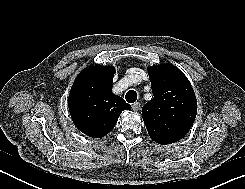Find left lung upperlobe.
Segmentation results:
<instances>
[{"label":"left lung upper lobe","instance_id":"1","mask_svg":"<svg viewBox=\"0 0 245 189\" xmlns=\"http://www.w3.org/2000/svg\"><path fill=\"white\" fill-rule=\"evenodd\" d=\"M154 98L142 108L149 136L167 145L183 138L197 113V100L186 76L175 66L163 64L149 67Z\"/></svg>","mask_w":245,"mask_h":189}]
</instances>
